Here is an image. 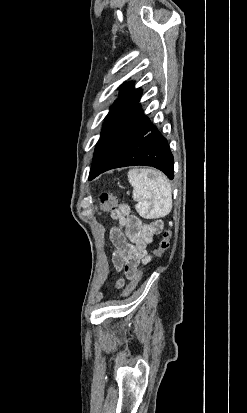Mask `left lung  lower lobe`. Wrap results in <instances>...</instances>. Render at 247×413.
<instances>
[{
    "label": "left lung lower lobe",
    "mask_w": 247,
    "mask_h": 413,
    "mask_svg": "<svg viewBox=\"0 0 247 413\" xmlns=\"http://www.w3.org/2000/svg\"><path fill=\"white\" fill-rule=\"evenodd\" d=\"M173 155L167 140L143 114L138 102L98 141L89 180L118 167L146 165L174 178Z\"/></svg>",
    "instance_id": "left-lung-lower-lobe-1"
}]
</instances>
